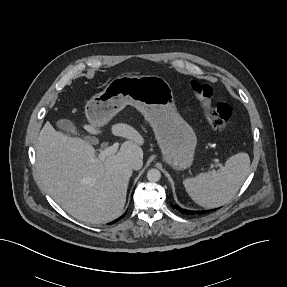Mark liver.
<instances>
[{
	"mask_svg": "<svg viewBox=\"0 0 287 287\" xmlns=\"http://www.w3.org/2000/svg\"><path fill=\"white\" fill-rule=\"evenodd\" d=\"M100 126L86 125L91 134ZM115 136L126 138L120 150L104 160L81 138L68 137L47 122L36 144L37 167L48 194L66 212L86 223H107L120 216L126 202L132 158L143 159L141 134L132 126H112Z\"/></svg>",
	"mask_w": 287,
	"mask_h": 287,
	"instance_id": "liver-1",
	"label": "liver"
}]
</instances>
